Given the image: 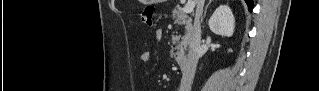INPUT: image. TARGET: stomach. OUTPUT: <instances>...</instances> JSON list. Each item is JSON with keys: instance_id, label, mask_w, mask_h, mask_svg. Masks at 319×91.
I'll return each instance as SVG.
<instances>
[{"instance_id": "stomach-1", "label": "stomach", "mask_w": 319, "mask_h": 91, "mask_svg": "<svg viewBox=\"0 0 319 91\" xmlns=\"http://www.w3.org/2000/svg\"><path fill=\"white\" fill-rule=\"evenodd\" d=\"M144 1V3H146V4H152V3H157V2H159L160 0H143Z\"/></svg>"}]
</instances>
